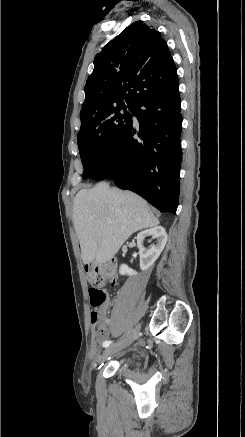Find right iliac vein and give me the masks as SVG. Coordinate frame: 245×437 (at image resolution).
<instances>
[{
    "instance_id": "63e3f726",
    "label": "right iliac vein",
    "mask_w": 245,
    "mask_h": 437,
    "mask_svg": "<svg viewBox=\"0 0 245 437\" xmlns=\"http://www.w3.org/2000/svg\"><path fill=\"white\" fill-rule=\"evenodd\" d=\"M139 330H140V325H137L134 328V330L132 331V333L127 338H125L124 340H122L119 343H116V344L106 348L103 352L102 358L105 359L108 356H110V355H112L120 350H123L126 347H128L130 344H132L133 341L137 338Z\"/></svg>"
}]
</instances>
